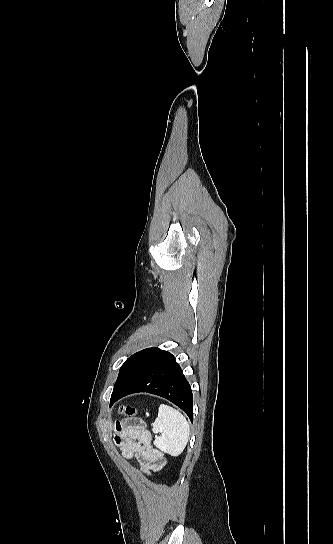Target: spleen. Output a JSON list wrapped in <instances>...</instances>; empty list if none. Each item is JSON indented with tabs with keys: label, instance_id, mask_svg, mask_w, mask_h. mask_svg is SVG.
<instances>
[{
	"label": "spleen",
	"instance_id": "spleen-1",
	"mask_svg": "<svg viewBox=\"0 0 333 544\" xmlns=\"http://www.w3.org/2000/svg\"><path fill=\"white\" fill-rule=\"evenodd\" d=\"M152 431L159 436L155 437L154 445L161 451L172 456L182 453L190 435V426L186 418L176 409L161 404L158 416L152 424Z\"/></svg>",
	"mask_w": 333,
	"mask_h": 544
}]
</instances>
